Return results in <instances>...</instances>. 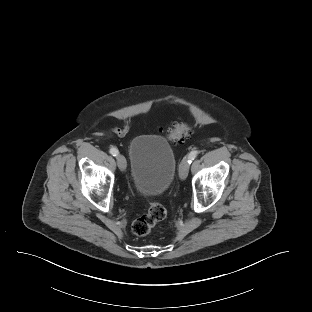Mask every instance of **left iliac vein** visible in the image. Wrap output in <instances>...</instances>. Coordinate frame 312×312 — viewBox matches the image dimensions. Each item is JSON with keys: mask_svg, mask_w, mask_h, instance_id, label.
I'll return each instance as SVG.
<instances>
[{"mask_svg": "<svg viewBox=\"0 0 312 312\" xmlns=\"http://www.w3.org/2000/svg\"><path fill=\"white\" fill-rule=\"evenodd\" d=\"M188 171H189L188 159L184 158L179 165V177L181 180L186 179V177L188 175Z\"/></svg>", "mask_w": 312, "mask_h": 312, "instance_id": "1", "label": "left iliac vein"}]
</instances>
